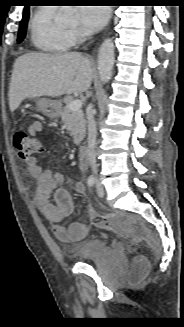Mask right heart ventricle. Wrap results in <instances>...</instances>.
<instances>
[{
    "instance_id": "e07e8e85",
    "label": "right heart ventricle",
    "mask_w": 184,
    "mask_h": 327,
    "mask_svg": "<svg viewBox=\"0 0 184 327\" xmlns=\"http://www.w3.org/2000/svg\"><path fill=\"white\" fill-rule=\"evenodd\" d=\"M29 32L33 45L41 51L65 52L74 45L70 30L57 23L54 7L38 8L30 19Z\"/></svg>"
}]
</instances>
